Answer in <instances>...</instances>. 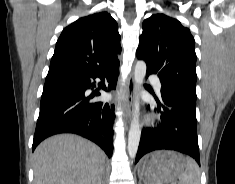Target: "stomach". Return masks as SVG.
<instances>
[{
  "instance_id": "obj_1",
  "label": "stomach",
  "mask_w": 235,
  "mask_h": 184,
  "mask_svg": "<svg viewBox=\"0 0 235 184\" xmlns=\"http://www.w3.org/2000/svg\"><path fill=\"white\" fill-rule=\"evenodd\" d=\"M185 168L186 158L183 154L159 150L151 156H146L138 168V174L146 184H175V180L183 174Z\"/></svg>"
}]
</instances>
